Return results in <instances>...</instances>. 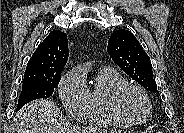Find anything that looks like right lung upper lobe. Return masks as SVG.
<instances>
[{
    "label": "right lung upper lobe",
    "instance_id": "obj_1",
    "mask_svg": "<svg viewBox=\"0 0 184 133\" xmlns=\"http://www.w3.org/2000/svg\"><path fill=\"white\" fill-rule=\"evenodd\" d=\"M67 59V35L53 30L28 61L23 81H47L61 76Z\"/></svg>",
    "mask_w": 184,
    "mask_h": 133
}]
</instances>
